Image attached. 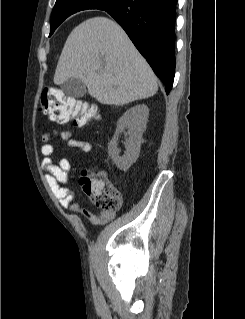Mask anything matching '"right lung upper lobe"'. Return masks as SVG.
<instances>
[{
  "label": "right lung upper lobe",
  "instance_id": "right-lung-upper-lobe-1",
  "mask_svg": "<svg viewBox=\"0 0 245 319\" xmlns=\"http://www.w3.org/2000/svg\"><path fill=\"white\" fill-rule=\"evenodd\" d=\"M57 1H58V0H57ZM68 1L74 2V1H82V0H68ZM80 10H81L80 7H75V8H73L74 13H75V12H78V11H80ZM102 10H103V9H102Z\"/></svg>",
  "mask_w": 245,
  "mask_h": 319
}]
</instances>
